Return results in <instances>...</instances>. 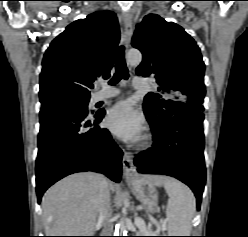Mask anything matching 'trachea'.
Returning <instances> with one entry per match:
<instances>
[{
    "mask_svg": "<svg viewBox=\"0 0 248 237\" xmlns=\"http://www.w3.org/2000/svg\"><path fill=\"white\" fill-rule=\"evenodd\" d=\"M129 78V72L125 63L124 46H120L116 56V72L113 78L110 80V85L117 84L121 79L127 80Z\"/></svg>",
    "mask_w": 248,
    "mask_h": 237,
    "instance_id": "1",
    "label": "trachea"
}]
</instances>
